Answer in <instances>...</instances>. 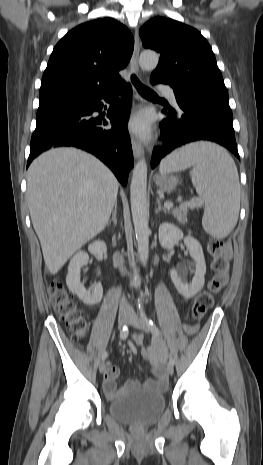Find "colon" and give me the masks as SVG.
I'll list each match as a JSON object with an SVG mask.
<instances>
[{"label": "colon", "mask_w": 263, "mask_h": 465, "mask_svg": "<svg viewBox=\"0 0 263 465\" xmlns=\"http://www.w3.org/2000/svg\"><path fill=\"white\" fill-rule=\"evenodd\" d=\"M207 249L212 257L214 275L209 281L207 289L199 293L195 298L192 306V316L196 320L204 317L214 303V296L224 288L228 281L229 261L223 242L210 238L207 242ZM49 294L53 306L70 332L76 339L82 338L87 329L86 321L60 280L54 279L51 282Z\"/></svg>", "instance_id": "5ec220e1"}]
</instances>
